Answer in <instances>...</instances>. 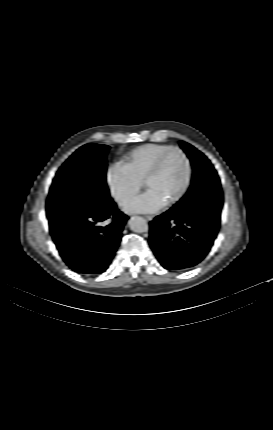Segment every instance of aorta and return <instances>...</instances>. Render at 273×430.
<instances>
[{"mask_svg":"<svg viewBox=\"0 0 273 430\" xmlns=\"http://www.w3.org/2000/svg\"><path fill=\"white\" fill-rule=\"evenodd\" d=\"M128 225L130 229L136 233H143L148 231L147 221L139 216L131 217L128 221Z\"/></svg>","mask_w":273,"mask_h":430,"instance_id":"aorta-1","label":"aorta"}]
</instances>
